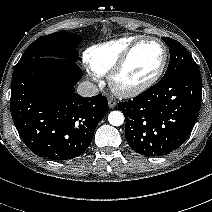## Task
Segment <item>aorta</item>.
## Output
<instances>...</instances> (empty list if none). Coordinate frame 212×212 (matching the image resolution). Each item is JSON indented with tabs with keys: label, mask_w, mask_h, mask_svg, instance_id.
<instances>
[{
	"label": "aorta",
	"mask_w": 212,
	"mask_h": 212,
	"mask_svg": "<svg viewBox=\"0 0 212 212\" xmlns=\"http://www.w3.org/2000/svg\"><path fill=\"white\" fill-rule=\"evenodd\" d=\"M124 119L121 111H111L108 115V121L113 126H121L124 123Z\"/></svg>",
	"instance_id": "obj_1"
}]
</instances>
